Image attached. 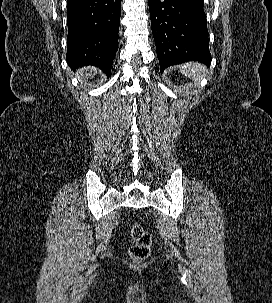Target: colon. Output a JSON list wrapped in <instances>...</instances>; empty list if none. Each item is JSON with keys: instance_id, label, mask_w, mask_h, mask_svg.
Wrapping results in <instances>:
<instances>
[{"instance_id": "1", "label": "colon", "mask_w": 272, "mask_h": 303, "mask_svg": "<svg viewBox=\"0 0 272 303\" xmlns=\"http://www.w3.org/2000/svg\"><path fill=\"white\" fill-rule=\"evenodd\" d=\"M132 244L129 255L133 261L141 262L148 258L151 251V233L139 222H134L130 228Z\"/></svg>"}]
</instances>
